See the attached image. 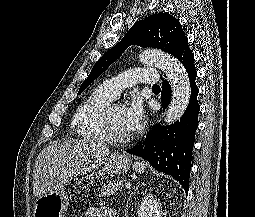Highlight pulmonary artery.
Segmentation results:
<instances>
[{"instance_id": "obj_1", "label": "pulmonary artery", "mask_w": 255, "mask_h": 217, "mask_svg": "<svg viewBox=\"0 0 255 217\" xmlns=\"http://www.w3.org/2000/svg\"><path fill=\"white\" fill-rule=\"evenodd\" d=\"M158 75L153 69L135 68L107 79L103 82L104 89L114 98L118 97L120 92L136 83L157 84Z\"/></svg>"}]
</instances>
